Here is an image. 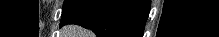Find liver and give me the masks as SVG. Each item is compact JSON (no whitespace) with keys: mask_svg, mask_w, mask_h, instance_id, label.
Here are the masks:
<instances>
[{"mask_svg":"<svg viewBox=\"0 0 219 37\" xmlns=\"http://www.w3.org/2000/svg\"><path fill=\"white\" fill-rule=\"evenodd\" d=\"M63 37H92V33L77 25H67L62 29Z\"/></svg>","mask_w":219,"mask_h":37,"instance_id":"liver-1","label":"liver"}]
</instances>
